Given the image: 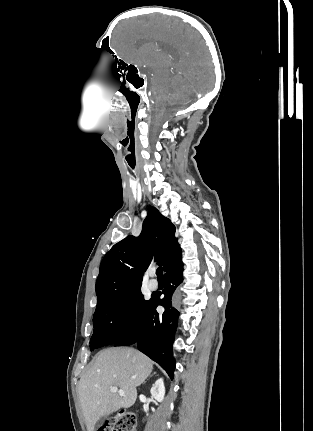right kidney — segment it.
Returning a JSON list of instances; mask_svg holds the SVG:
<instances>
[{
    "label": "right kidney",
    "mask_w": 313,
    "mask_h": 431,
    "mask_svg": "<svg viewBox=\"0 0 313 431\" xmlns=\"http://www.w3.org/2000/svg\"><path fill=\"white\" fill-rule=\"evenodd\" d=\"M152 397L157 400L158 402H162L164 400L165 396V387L163 379H158L155 384L152 386L151 390Z\"/></svg>",
    "instance_id": "obj_1"
}]
</instances>
